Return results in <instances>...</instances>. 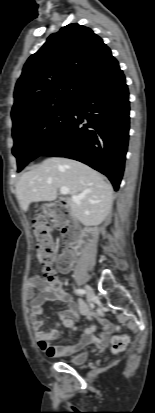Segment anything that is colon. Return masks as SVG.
I'll list each match as a JSON object with an SVG mask.
<instances>
[{
    "instance_id": "colon-1",
    "label": "colon",
    "mask_w": 155,
    "mask_h": 413,
    "mask_svg": "<svg viewBox=\"0 0 155 413\" xmlns=\"http://www.w3.org/2000/svg\"><path fill=\"white\" fill-rule=\"evenodd\" d=\"M52 223L62 230V241L66 246H71L76 241V232L74 226L69 223L68 212L63 205H50L41 210L33 220V231L37 238L36 250L38 259L44 267L45 283L51 289H58L61 280L55 269L61 271L68 269L73 257L70 253L57 255L56 244L49 233ZM127 343L126 336H115L112 339V351L114 353L124 351Z\"/></svg>"
}]
</instances>
